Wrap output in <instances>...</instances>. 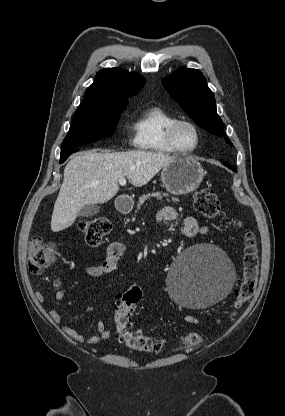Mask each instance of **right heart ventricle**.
<instances>
[{
  "label": "right heart ventricle",
  "instance_id": "e07e8e85",
  "mask_svg": "<svg viewBox=\"0 0 285 416\" xmlns=\"http://www.w3.org/2000/svg\"><path fill=\"white\" fill-rule=\"evenodd\" d=\"M177 117L160 105H151L135 119V145L154 154H171L174 151L167 141L169 125Z\"/></svg>",
  "mask_w": 285,
  "mask_h": 416
}]
</instances>
